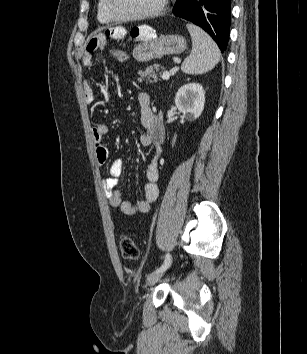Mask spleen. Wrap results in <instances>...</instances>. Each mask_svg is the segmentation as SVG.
<instances>
[{"instance_id": "1", "label": "spleen", "mask_w": 307, "mask_h": 354, "mask_svg": "<svg viewBox=\"0 0 307 354\" xmlns=\"http://www.w3.org/2000/svg\"><path fill=\"white\" fill-rule=\"evenodd\" d=\"M192 38V51L182 63L181 70L187 74H203L212 70L220 61V51L213 39L201 28L187 24Z\"/></svg>"}]
</instances>
